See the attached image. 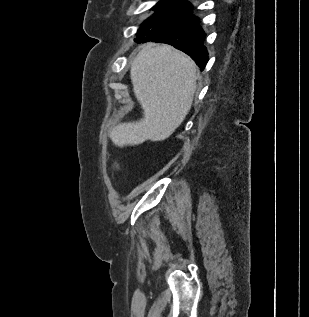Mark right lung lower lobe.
Here are the masks:
<instances>
[{
  "mask_svg": "<svg viewBox=\"0 0 309 317\" xmlns=\"http://www.w3.org/2000/svg\"><path fill=\"white\" fill-rule=\"evenodd\" d=\"M191 4L178 0L161 9L144 22L135 41L167 43L188 54L204 69L208 53L203 45L205 33L196 16L190 13Z\"/></svg>",
  "mask_w": 309,
  "mask_h": 317,
  "instance_id": "98d812e1",
  "label": "right lung lower lobe"
}]
</instances>
